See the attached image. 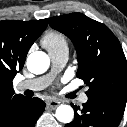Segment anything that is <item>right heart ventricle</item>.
I'll return each instance as SVG.
<instances>
[{
  "instance_id": "e07e8e85",
  "label": "right heart ventricle",
  "mask_w": 127,
  "mask_h": 127,
  "mask_svg": "<svg viewBox=\"0 0 127 127\" xmlns=\"http://www.w3.org/2000/svg\"><path fill=\"white\" fill-rule=\"evenodd\" d=\"M41 43L50 54L62 50H68V41L66 36L63 33L56 30L47 31L43 35Z\"/></svg>"
}]
</instances>
